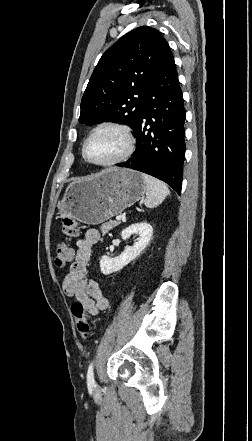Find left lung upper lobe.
Instances as JSON below:
<instances>
[{"label": "left lung upper lobe", "mask_w": 252, "mask_h": 441, "mask_svg": "<svg viewBox=\"0 0 252 441\" xmlns=\"http://www.w3.org/2000/svg\"><path fill=\"white\" fill-rule=\"evenodd\" d=\"M165 42L157 29L141 26L113 44L92 73L82 97L79 121L123 122L136 132Z\"/></svg>", "instance_id": "left-lung-upper-lobe-1"}]
</instances>
